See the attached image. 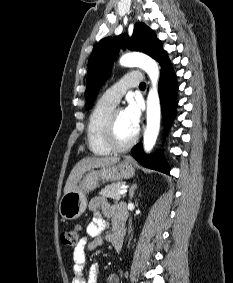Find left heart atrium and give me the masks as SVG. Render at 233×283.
Returning a JSON list of instances; mask_svg holds the SVG:
<instances>
[{
  "label": "left heart atrium",
  "instance_id": "1",
  "mask_svg": "<svg viewBox=\"0 0 233 283\" xmlns=\"http://www.w3.org/2000/svg\"><path fill=\"white\" fill-rule=\"evenodd\" d=\"M123 112L130 125L135 130H138L141 119V107L139 103L134 99H129L127 102V106Z\"/></svg>",
  "mask_w": 233,
  "mask_h": 283
}]
</instances>
